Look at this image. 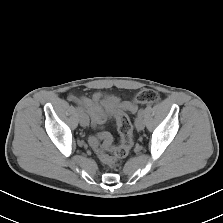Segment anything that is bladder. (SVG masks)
<instances>
[{"instance_id": "1", "label": "bladder", "mask_w": 223, "mask_h": 223, "mask_svg": "<svg viewBox=\"0 0 223 223\" xmlns=\"http://www.w3.org/2000/svg\"><path fill=\"white\" fill-rule=\"evenodd\" d=\"M108 108H109V113L112 116L114 113V104L113 103H109L108 104Z\"/></svg>"}]
</instances>
